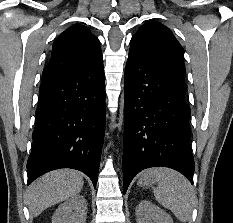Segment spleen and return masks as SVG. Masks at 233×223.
<instances>
[{
  "mask_svg": "<svg viewBox=\"0 0 233 223\" xmlns=\"http://www.w3.org/2000/svg\"><path fill=\"white\" fill-rule=\"evenodd\" d=\"M142 177H156L158 187L154 189V195L163 207L171 209L177 219L188 221L194 207L195 193L192 185L184 175L174 169L156 167L153 171L143 173Z\"/></svg>",
  "mask_w": 233,
  "mask_h": 223,
  "instance_id": "3e777b00",
  "label": "spleen"
}]
</instances>
